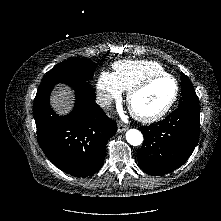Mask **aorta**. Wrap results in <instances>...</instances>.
I'll list each match as a JSON object with an SVG mask.
<instances>
[{
  "instance_id": "762f6f07",
  "label": "aorta",
  "mask_w": 221,
  "mask_h": 221,
  "mask_svg": "<svg viewBox=\"0 0 221 221\" xmlns=\"http://www.w3.org/2000/svg\"><path fill=\"white\" fill-rule=\"evenodd\" d=\"M126 140L130 145L139 146L143 142V135L137 129H129L126 132Z\"/></svg>"
}]
</instances>
